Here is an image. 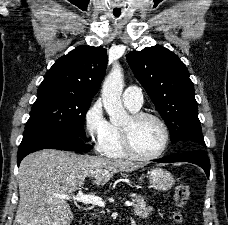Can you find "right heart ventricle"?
<instances>
[{
    "label": "right heart ventricle",
    "mask_w": 228,
    "mask_h": 225,
    "mask_svg": "<svg viewBox=\"0 0 228 225\" xmlns=\"http://www.w3.org/2000/svg\"><path fill=\"white\" fill-rule=\"evenodd\" d=\"M131 112L138 110L126 106ZM99 151L102 155L109 158H125L129 154L124 148L122 127L118 124L112 123L109 137L101 144Z\"/></svg>",
    "instance_id": "obj_1"
}]
</instances>
